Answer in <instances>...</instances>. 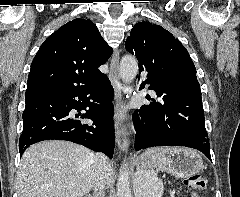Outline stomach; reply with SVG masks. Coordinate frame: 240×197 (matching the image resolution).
Returning a JSON list of instances; mask_svg holds the SVG:
<instances>
[{"mask_svg":"<svg viewBox=\"0 0 240 197\" xmlns=\"http://www.w3.org/2000/svg\"><path fill=\"white\" fill-rule=\"evenodd\" d=\"M134 163L140 170V174H146L149 170L159 167L177 178L191 176L203 168L200 155L190 149H172L166 154L161 150L151 149L138 156ZM136 190L138 196L145 197V181H138Z\"/></svg>","mask_w":240,"mask_h":197,"instance_id":"obj_1","label":"stomach"}]
</instances>
